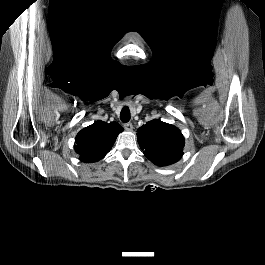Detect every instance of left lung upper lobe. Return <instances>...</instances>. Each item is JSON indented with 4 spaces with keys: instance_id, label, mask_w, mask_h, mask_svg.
Wrapping results in <instances>:
<instances>
[{
    "instance_id": "1",
    "label": "left lung upper lobe",
    "mask_w": 265,
    "mask_h": 265,
    "mask_svg": "<svg viewBox=\"0 0 265 265\" xmlns=\"http://www.w3.org/2000/svg\"><path fill=\"white\" fill-rule=\"evenodd\" d=\"M137 140L144 155L155 165L176 163L183 155L185 139L174 125L154 119L139 128Z\"/></svg>"
}]
</instances>
